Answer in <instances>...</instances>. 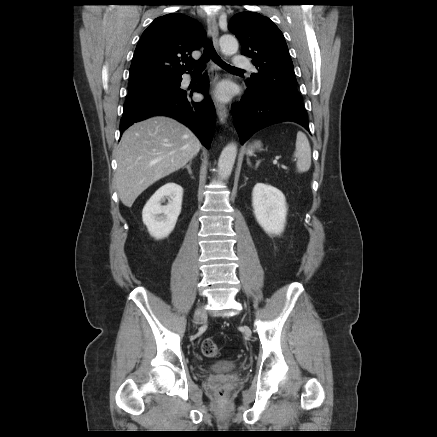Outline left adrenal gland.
I'll use <instances>...</instances> for the list:
<instances>
[{"label":"left adrenal gland","mask_w":437,"mask_h":437,"mask_svg":"<svg viewBox=\"0 0 437 437\" xmlns=\"http://www.w3.org/2000/svg\"><path fill=\"white\" fill-rule=\"evenodd\" d=\"M248 180V178L247 177H245V182Z\"/></svg>","instance_id":"a2214340"}]
</instances>
